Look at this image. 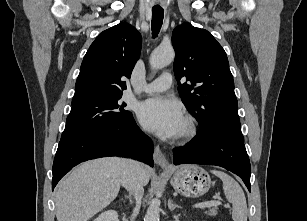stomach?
Segmentation results:
<instances>
[{
	"label": "stomach",
	"instance_id": "stomach-1",
	"mask_svg": "<svg viewBox=\"0 0 307 221\" xmlns=\"http://www.w3.org/2000/svg\"><path fill=\"white\" fill-rule=\"evenodd\" d=\"M173 188L187 197H199L210 189L212 182L208 172L197 165H181L173 171Z\"/></svg>",
	"mask_w": 307,
	"mask_h": 221
}]
</instances>
